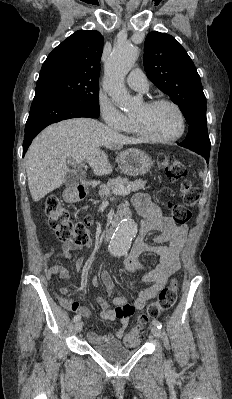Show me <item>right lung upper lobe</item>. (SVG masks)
<instances>
[{"label": "right lung upper lobe", "mask_w": 232, "mask_h": 399, "mask_svg": "<svg viewBox=\"0 0 232 399\" xmlns=\"http://www.w3.org/2000/svg\"><path fill=\"white\" fill-rule=\"evenodd\" d=\"M103 44V36L98 31H76L48 55L38 81L64 77L98 83Z\"/></svg>", "instance_id": "1"}]
</instances>
